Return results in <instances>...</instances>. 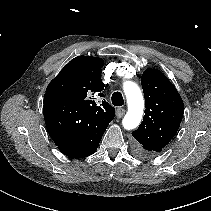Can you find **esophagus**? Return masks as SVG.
<instances>
[{"label": "esophagus", "instance_id": "34e87169", "mask_svg": "<svg viewBox=\"0 0 211 211\" xmlns=\"http://www.w3.org/2000/svg\"><path fill=\"white\" fill-rule=\"evenodd\" d=\"M124 114H125V109H123V108H117V110H116V116L118 118L123 117Z\"/></svg>", "mask_w": 211, "mask_h": 211}]
</instances>
